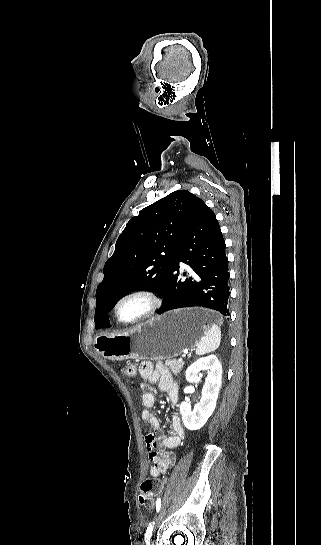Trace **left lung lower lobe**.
Returning <instances> with one entry per match:
<instances>
[{
	"mask_svg": "<svg viewBox=\"0 0 321 545\" xmlns=\"http://www.w3.org/2000/svg\"><path fill=\"white\" fill-rule=\"evenodd\" d=\"M225 248L214 212L204 202L199 203L176 248L167 281L159 291L164 300L157 313L201 306L228 316L230 274ZM179 261L189 265L194 275L186 280L179 278Z\"/></svg>",
	"mask_w": 321,
	"mask_h": 545,
	"instance_id": "1",
	"label": "left lung lower lobe"
}]
</instances>
